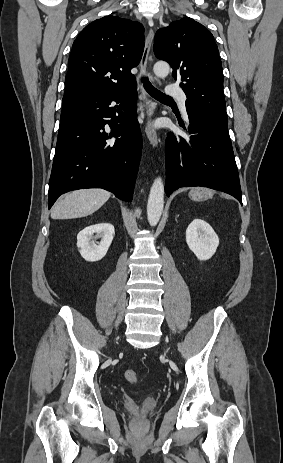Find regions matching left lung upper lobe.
<instances>
[{"mask_svg": "<svg viewBox=\"0 0 283 463\" xmlns=\"http://www.w3.org/2000/svg\"><path fill=\"white\" fill-rule=\"evenodd\" d=\"M154 52L172 66L174 79L182 81L187 110L228 124L222 64L209 30L184 17L157 31Z\"/></svg>", "mask_w": 283, "mask_h": 463, "instance_id": "1", "label": "left lung upper lobe"}]
</instances>
